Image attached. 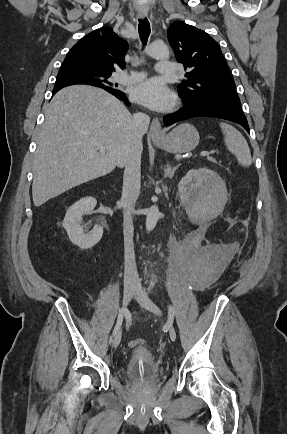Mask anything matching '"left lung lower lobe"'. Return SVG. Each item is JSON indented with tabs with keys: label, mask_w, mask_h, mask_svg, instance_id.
Wrapping results in <instances>:
<instances>
[{
	"label": "left lung lower lobe",
	"mask_w": 287,
	"mask_h": 434,
	"mask_svg": "<svg viewBox=\"0 0 287 434\" xmlns=\"http://www.w3.org/2000/svg\"><path fill=\"white\" fill-rule=\"evenodd\" d=\"M192 117H215L230 120L240 124L250 132L240 101L184 100V107L174 114L164 116L163 121L166 126H170L178 121Z\"/></svg>",
	"instance_id": "left-lung-lower-lobe-1"
}]
</instances>
